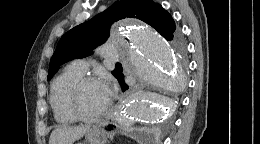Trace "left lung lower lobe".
<instances>
[{
	"instance_id": "0a47b994",
	"label": "left lung lower lobe",
	"mask_w": 260,
	"mask_h": 144,
	"mask_svg": "<svg viewBox=\"0 0 260 144\" xmlns=\"http://www.w3.org/2000/svg\"><path fill=\"white\" fill-rule=\"evenodd\" d=\"M175 42L177 43H181V36L177 33L174 37ZM120 83V86L122 87V91H126L129 87L128 85L124 82V75L122 73L119 72V74L116 77ZM114 126L113 125H109L108 128L112 129Z\"/></svg>"
}]
</instances>
